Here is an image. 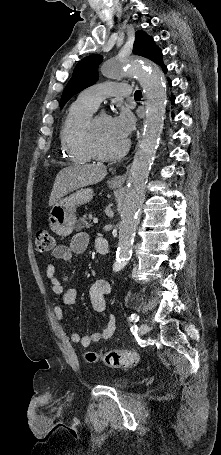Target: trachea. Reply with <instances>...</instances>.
<instances>
[{"label": "trachea", "mask_w": 221, "mask_h": 455, "mask_svg": "<svg viewBox=\"0 0 221 455\" xmlns=\"http://www.w3.org/2000/svg\"><path fill=\"white\" fill-rule=\"evenodd\" d=\"M134 96H135V97H141V96H142L141 91H140V90H137V91L134 93Z\"/></svg>", "instance_id": "3493384b"}]
</instances>
